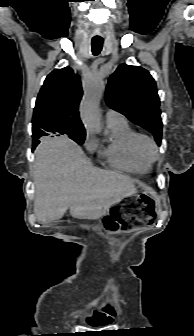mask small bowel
Here are the masks:
<instances>
[{
	"label": "small bowel",
	"mask_w": 194,
	"mask_h": 336,
	"mask_svg": "<svg viewBox=\"0 0 194 336\" xmlns=\"http://www.w3.org/2000/svg\"><path fill=\"white\" fill-rule=\"evenodd\" d=\"M110 319L109 312L108 314H102L99 318H97L94 323L96 325H107Z\"/></svg>",
	"instance_id": "small-bowel-1"
}]
</instances>
